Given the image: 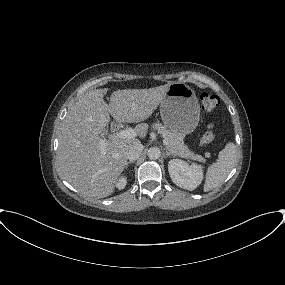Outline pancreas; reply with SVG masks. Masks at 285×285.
I'll list each match as a JSON object with an SVG mask.
<instances>
[{
	"mask_svg": "<svg viewBox=\"0 0 285 285\" xmlns=\"http://www.w3.org/2000/svg\"><path fill=\"white\" fill-rule=\"evenodd\" d=\"M152 127L168 141L167 149L174 156L205 162V159L201 155L194 154L190 151V149L184 144L183 136L180 133L169 130L161 123H154Z\"/></svg>",
	"mask_w": 285,
	"mask_h": 285,
	"instance_id": "1",
	"label": "pancreas"
}]
</instances>
